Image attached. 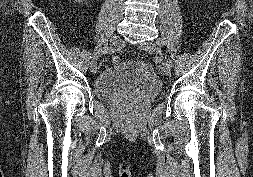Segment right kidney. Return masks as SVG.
<instances>
[{
    "label": "right kidney",
    "mask_w": 253,
    "mask_h": 177,
    "mask_svg": "<svg viewBox=\"0 0 253 177\" xmlns=\"http://www.w3.org/2000/svg\"><path fill=\"white\" fill-rule=\"evenodd\" d=\"M74 1L78 3H83L85 0H74Z\"/></svg>",
    "instance_id": "right-kidney-1"
}]
</instances>
